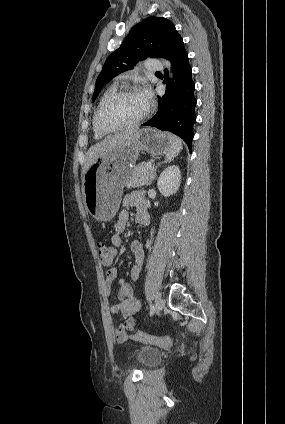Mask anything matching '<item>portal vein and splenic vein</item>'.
I'll return each instance as SVG.
<instances>
[{"label":"portal vein and splenic vein","mask_w":285,"mask_h":424,"mask_svg":"<svg viewBox=\"0 0 285 424\" xmlns=\"http://www.w3.org/2000/svg\"><path fill=\"white\" fill-rule=\"evenodd\" d=\"M146 167H147V168L152 167V162H148V163H147V165H146Z\"/></svg>","instance_id":"obj_1"}]
</instances>
